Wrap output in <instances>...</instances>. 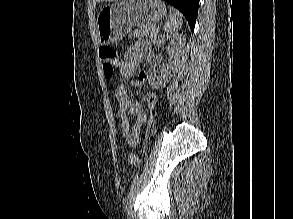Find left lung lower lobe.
<instances>
[{"instance_id": "1", "label": "left lung lower lobe", "mask_w": 293, "mask_h": 219, "mask_svg": "<svg viewBox=\"0 0 293 219\" xmlns=\"http://www.w3.org/2000/svg\"><path fill=\"white\" fill-rule=\"evenodd\" d=\"M170 5L177 8L187 19L191 30H194L198 14L199 0H165Z\"/></svg>"}]
</instances>
